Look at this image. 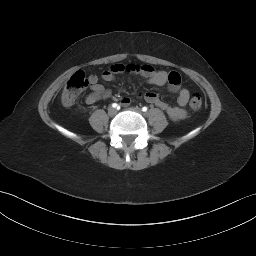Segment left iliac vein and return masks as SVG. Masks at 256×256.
<instances>
[{"instance_id":"left-iliac-vein-1","label":"left iliac vein","mask_w":256,"mask_h":256,"mask_svg":"<svg viewBox=\"0 0 256 256\" xmlns=\"http://www.w3.org/2000/svg\"><path fill=\"white\" fill-rule=\"evenodd\" d=\"M132 111L142 114V111L138 107L130 108Z\"/></svg>"}]
</instances>
